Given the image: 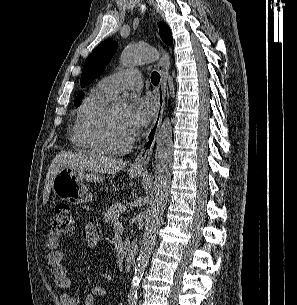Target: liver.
Segmentation results:
<instances>
[{"label":"liver","instance_id":"liver-1","mask_svg":"<svg viewBox=\"0 0 297 305\" xmlns=\"http://www.w3.org/2000/svg\"><path fill=\"white\" fill-rule=\"evenodd\" d=\"M125 166L126 162L120 159L89 155L81 152L62 151L55 156L48 170L43 192V203L46 204L49 199L54 176L63 168L115 174L125 168Z\"/></svg>","mask_w":297,"mask_h":305}]
</instances>
